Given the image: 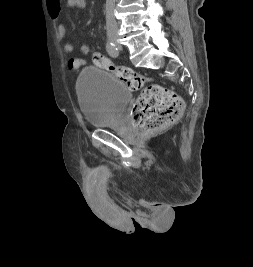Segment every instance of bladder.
<instances>
[{"label":"bladder","instance_id":"bladder-1","mask_svg":"<svg viewBox=\"0 0 253 267\" xmlns=\"http://www.w3.org/2000/svg\"><path fill=\"white\" fill-rule=\"evenodd\" d=\"M77 94L84 120L92 127L113 124L132 98V90L126 83L94 67L80 73Z\"/></svg>","mask_w":253,"mask_h":267}]
</instances>
